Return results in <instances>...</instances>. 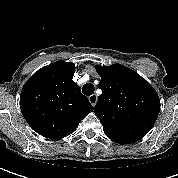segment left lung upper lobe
Returning a JSON list of instances; mask_svg holds the SVG:
<instances>
[{"label":"left lung upper lobe","mask_w":178,"mask_h":178,"mask_svg":"<svg viewBox=\"0 0 178 178\" xmlns=\"http://www.w3.org/2000/svg\"><path fill=\"white\" fill-rule=\"evenodd\" d=\"M102 94L94 108L106 136L120 143H134L152 128L160 111L154 88L138 73L120 65L96 66Z\"/></svg>","instance_id":"1"}]
</instances>
